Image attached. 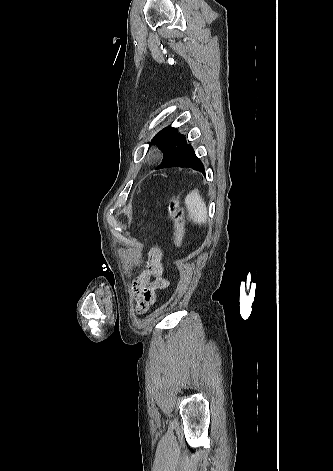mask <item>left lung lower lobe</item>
Segmentation results:
<instances>
[{"instance_id":"left-lung-lower-lobe-1","label":"left lung lower lobe","mask_w":333,"mask_h":471,"mask_svg":"<svg viewBox=\"0 0 333 471\" xmlns=\"http://www.w3.org/2000/svg\"><path fill=\"white\" fill-rule=\"evenodd\" d=\"M168 165L178 167H190L205 175L204 165L201 160L196 156L195 151L190 144L185 146L182 150L178 151L168 162Z\"/></svg>"}]
</instances>
